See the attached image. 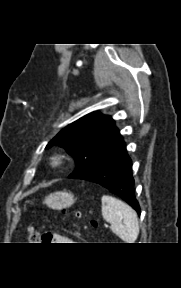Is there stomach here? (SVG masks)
<instances>
[{
  "mask_svg": "<svg viewBox=\"0 0 181 288\" xmlns=\"http://www.w3.org/2000/svg\"><path fill=\"white\" fill-rule=\"evenodd\" d=\"M75 202L74 196L70 192L59 191L47 195L44 203L51 209L61 210L70 207Z\"/></svg>",
  "mask_w": 181,
  "mask_h": 288,
  "instance_id": "0dacf381",
  "label": "stomach"
}]
</instances>
